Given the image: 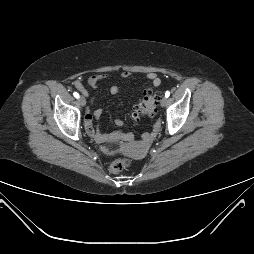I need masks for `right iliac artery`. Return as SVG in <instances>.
Masks as SVG:
<instances>
[{
  "mask_svg": "<svg viewBox=\"0 0 254 254\" xmlns=\"http://www.w3.org/2000/svg\"><path fill=\"white\" fill-rule=\"evenodd\" d=\"M73 95L75 98H79V94L77 92H74Z\"/></svg>",
  "mask_w": 254,
  "mask_h": 254,
  "instance_id": "obj_1",
  "label": "right iliac artery"
}]
</instances>
